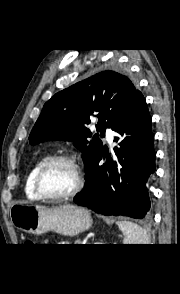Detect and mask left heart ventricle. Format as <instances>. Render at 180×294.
Masks as SVG:
<instances>
[{"mask_svg": "<svg viewBox=\"0 0 180 294\" xmlns=\"http://www.w3.org/2000/svg\"><path fill=\"white\" fill-rule=\"evenodd\" d=\"M77 182L72 166L58 162L47 169L42 178V189L46 194L59 195L72 190Z\"/></svg>", "mask_w": 180, "mask_h": 294, "instance_id": "obj_1", "label": "left heart ventricle"}]
</instances>
